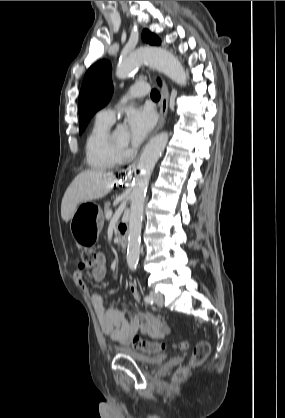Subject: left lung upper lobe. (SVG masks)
<instances>
[{
	"instance_id": "1",
	"label": "left lung upper lobe",
	"mask_w": 285,
	"mask_h": 418,
	"mask_svg": "<svg viewBox=\"0 0 285 418\" xmlns=\"http://www.w3.org/2000/svg\"><path fill=\"white\" fill-rule=\"evenodd\" d=\"M142 38L151 45L160 44V39L147 29L143 31ZM112 92L111 63L100 60L89 68L82 83L78 107L80 134L85 130L91 117L109 102Z\"/></svg>"
}]
</instances>
